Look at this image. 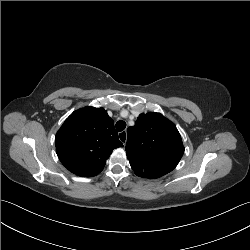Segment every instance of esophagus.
<instances>
[{
  "mask_svg": "<svg viewBox=\"0 0 250 250\" xmlns=\"http://www.w3.org/2000/svg\"><path fill=\"white\" fill-rule=\"evenodd\" d=\"M119 140L125 145L127 141V132L126 131H121L118 134Z\"/></svg>",
  "mask_w": 250,
  "mask_h": 250,
  "instance_id": "1",
  "label": "esophagus"
}]
</instances>
